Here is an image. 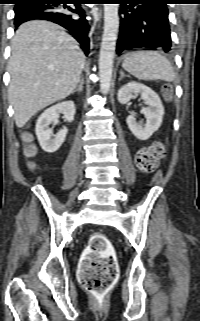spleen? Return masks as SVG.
Wrapping results in <instances>:
<instances>
[{
    "label": "spleen",
    "mask_w": 200,
    "mask_h": 321,
    "mask_svg": "<svg viewBox=\"0 0 200 321\" xmlns=\"http://www.w3.org/2000/svg\"><path fill=\"white\" fill-rule=\"evenodd\" d=\"M123 68L139 80L173 81L175 73L170 61L157 51H136L126 55Z\"/></svg>",
    "instance_id": "spleen-1"
}]
</instances>
